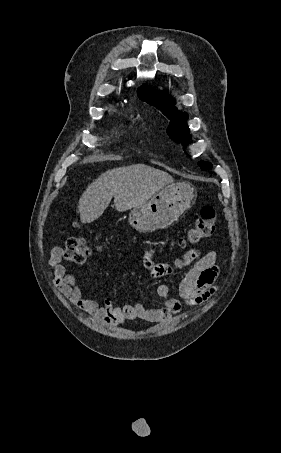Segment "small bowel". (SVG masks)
Listing matches in <instances>:
<instances>
[{"label": "small bowel", "mask_w": 281, "mask_h": 453, "mask_svg": "<svg viewBox=\"0 0 281 453\" xmlns=\"http://www.w3.org/2000/svg\"><path fill=\"white\" fill-rule=\"evenodd\" d=\"M63 260L62 248L51 251L49 265L53 270L57 287L82 311L107 324H122L134 319H144L152 323L161 322L172 314L181 312L186 305H200L206 302L218 288L216 278L219 268L215 251H208L201 255L197 249H190L170 263H157L154 261V250L149 247L143 261L152 277H169L173 275L174 270L185 273L176 287L185 303L182 304L171 297L169 285L161 284L156 289L158 296L163 298L159 307L148 308L143 304L102 305L84 296L73 275L66 270Z\"/></svg>", "instance_id": "c3829d8e"}]
</instances>
